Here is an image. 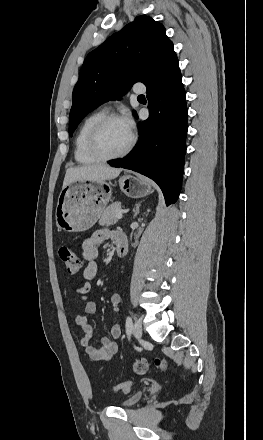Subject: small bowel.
Instances as JSON below:
<instances>
[{
  "label": "small bowel",
  "instance_id": "c3829d8e",
  "mask_svg": "<svg viewBox=\"0 0 263 440\" xmlns=\"http://www.w3.org/2000/svg\"><path fill=\"white\" fill-rule=\"evenodd\" d=\"M120 238H124L120 232L100 229L85 239L82 244L81 255L87 261V266L83 271V282L76 288V293L82 298L83 304L81 313L76 316L75 322L81 327L84 334L80 344L86 356L92 361H109L118 351L116 339L121 335L120 325L118 323L112 325L111 338L106 337L97 341L93 337V329L87 322V316L94 315L96 312V305L88 300V293L90 291L89 282L96 276L98 270L96 263L98 247L107 240H112L117 244ZM120 301L118 294L112 295L111 306L113 312L119 311Z\"/></svg>",
  "mask_w": 263,
  "mask_h": 440
}]
</instances>
